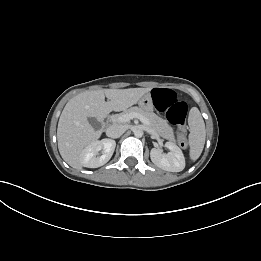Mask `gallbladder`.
<instances>
[{
  "instance_id": "bac80fb5",
  "label": "gallbladder",
  "mask_w": 261,
  "mask_h": 261,
  "mask_svg": "<svg viewBox=\"0 0 261 261\" xmlns=\"http://www.w3.org/2000/svg\"><path fill=\"white\" fill-rule=\"evenodd\" d=\"M88 121L95 130H99L101 128V123L96 118H89Z\"/></svg>"
}]
</instances>
